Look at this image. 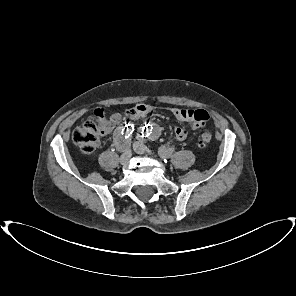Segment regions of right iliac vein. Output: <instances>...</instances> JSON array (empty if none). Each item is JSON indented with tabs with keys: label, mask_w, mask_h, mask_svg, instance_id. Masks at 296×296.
Returning a JSON list of instances; mask_svg holds the SVG:
<instances>
[{
	"label": "right iliac vein",
	"mask_w": 296,
	"mask_h": 296,
	"mask_svg": "<svg viewBox=\"0 0 296 296\" xmlns=\"http://www.w3.org/2000/svg\"><path fill=\"white\" fill-rule=\"evenodd\" d=\"M131 156H132V152H131V150L129 149V146H128V147L125 149L124 153L121 155V157H120V162H121L122 164L127 163V162L130 160Z\"/></svg>",
	"instance_id": "1"
}]
</instances>
